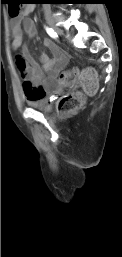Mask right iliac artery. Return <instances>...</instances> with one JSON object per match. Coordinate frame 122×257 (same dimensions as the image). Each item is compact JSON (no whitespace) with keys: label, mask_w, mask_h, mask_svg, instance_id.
I'll use <instances>...</instances> for the list:
<instances>
[{"label":"right iliac artery","mask_w":122,"mask_h":257,"mask_svg":"<svg viewBox=\"0 0 122 257\" xmlns=\"http://www.w3.org/2000/svg\"><path fill=\"white\" fill-rule=\"evenodd\" d=\"M46 32L48 33V35L52 38H57V33L52 29V28H48L46 27Z\"/></svg>","instance_id":"obj_1"}]
</instances>
